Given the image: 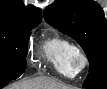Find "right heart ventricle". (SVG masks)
<instances>
[{
    "mask_svg": "<svg viewBox=\"0 0 107 89\" xmlns=\"http://www.w3.org/2000/svg\"><path fill=\"white\" fill-rule=\"evenodd\" d=\"M75 49L70 40L55 34L45 40L42 55L59 74L72 78L76 73L70 65V57Z\"/></svg>",
    "mask_w": 107,
    "mask_h": 89,
    "instance_id": "e07e8e85",
    "label": "right heart ventricle"
}]
</instances>
